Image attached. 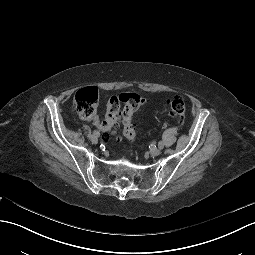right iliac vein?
Segmentation results:
<instances>
[{
	"label": "right iliac vein",
	"instance_id": "obj_1",
	"mask_svg": "<svg viewBox=\"0 0 255 255\" xmlns=\"http://www.w3.org/2000/svg\"><path fill=\"white\" fill-rule=\"evenodd\" d=\"M91 141H92L93 144H97V142H98V137H97L96 135L93 134V135L91 136Z\"/></svg>",
	"mask_w": 255,
	"mask_h": 255
}]
</instances>
